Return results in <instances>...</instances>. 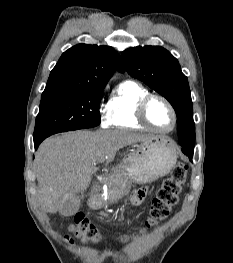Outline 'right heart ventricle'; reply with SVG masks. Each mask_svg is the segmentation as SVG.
<instances>
[{"label":"right heart ventricle","mask_w":233,"mask_h":263,"mask_svg":"<svg viewBox=\"0 0 233 263\" xmlns=\"http://www.w3.org/2000/svg\"><path fill=\"white\" fill-rule=\"evenodd\" d=\"M148 94V89L135 81L123 82L108 104L110 126L144 128L137 119L136 111L140 100Z\"/></svg>","instance_id":"1"}]
</instances>
